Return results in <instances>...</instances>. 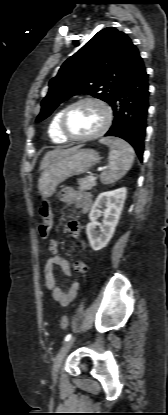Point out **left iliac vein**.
Masks as SVG:
<instances>
[{
	"mask_svg": "<svg viewBox=\"0 0 168 415\" xmlns=\"http://www.w3.org/2000/svg\"><path fill=\"white\" fill-rule=\"evenodd\" d=\"M75 341V338H70L68 341H66L63 346L60 348L55 360H54V364H53V368H52V377L55 380L58 376L59 373V369L61 367V364L63 362L64 357L66 356V354L68 353V351L70 350L71 346L73 345Z\"/></svg>",
	"mask_w": 168,
	"mask_h": 415,
	"instance_id": "obj_1",
	"label": "left iliac vein"
}]
</instances>
